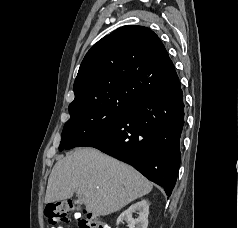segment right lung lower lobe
I'll return each instance as SVG.
<instances>
[{"instance_id":"right-lung-lower-lobe-1","label":"right lung lower lobe","mask_w":238,"mask_h":228,"mask_svg":"<svg viewBox=\"0 0 238 228\" xmlns=\"http://www.w3.org/2000/svg\"><path fill=\"white\" fill-rule=\"evenodd\" d=\"M180 81L131 102L117 121L78 147H94L136 168L168 196L180 165L184 125Z\"/></svg>"}]
</instances>
